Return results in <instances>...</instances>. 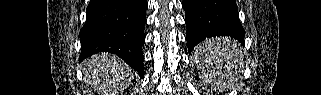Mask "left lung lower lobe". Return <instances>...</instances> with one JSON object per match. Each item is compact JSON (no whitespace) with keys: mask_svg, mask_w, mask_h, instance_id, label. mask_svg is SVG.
Returning a JSON list of instances; mask_svg holds the SVG:
<instances>
[{"mask_svg":"<svg viewBox=\"0 0 321 95\" xmlns=\"http://www.w3.org/2000/svg\"><path fill=\"white\" fill-rule=\"evenodd\" d=\"M182 6L189 52L202 40L215 36H230L244 44L245 31L235 0H183Z\"/></svg>","mask_w":321,"mask_h":95,"instance_id":"0a47b994","label":"left lung lower lobe"}]
</instances>
